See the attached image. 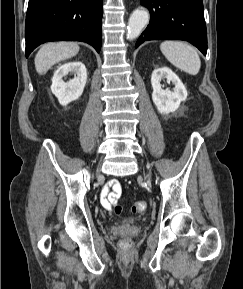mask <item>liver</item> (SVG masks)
I'll use <instances>...</instances> for the list:
<instances>
[{"instance_id": "obj_1", "label": "liver", "mask_w": 243, "mask_h": 289, "mask_svg": "<svg viewBox=\"0 0 243 289\" xmlns=\"http://www.w3.org/2000/svg\"><path fill=\"white\" fill-rule=\"evenodd\" d=\"M79 49V45L73 42L47 43L43 45L35 56L36 71L40 74L48 71L56 63L75 56Z\"/></svg>"}]
</instances>
